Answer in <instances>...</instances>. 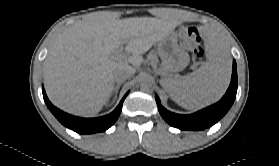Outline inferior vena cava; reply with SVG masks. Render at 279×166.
I'll list each match as a JSON object with an SVG mask.
<instances>
[{"mask_svg": "<svg viewBox=\"0 0 279 166\" xmlns=\"http://www.w3.org/2000/svg\"><path fill=\"white\" fill-rule=\"evenodd\" d=\"M135 73V69L131 66L118 69L114 74V79L117 83H121Z\"/></svg>", "mask_w": 279, "mask_h": 166, "instance_id": "1", "label": "inferior vena cava"}]
</instances>
